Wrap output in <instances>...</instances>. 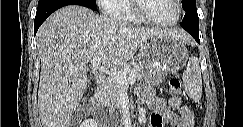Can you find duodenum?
Segmentation results:
<instances>
[{
    "mask_svg": "<svg viewBox=\"0 0 243 127\" xmlns=\"http://www.w3.org/2000/svg\"><path fill=\"white\" fill-rule=\"evenodd\" d=\"M95 84H96V91H100L104 88V86L106 85V78L102 75H99L95 78ZM90 104H91V108H92V113L94 115V117L96 119H99V110H98V96L97 94H93L92 96H90Z\"/></svg>",
    "mask_w": 243,
    "mask_h": 127,
    "instance_id": "1",
    "label": "duodenum"
}]
</instances>
